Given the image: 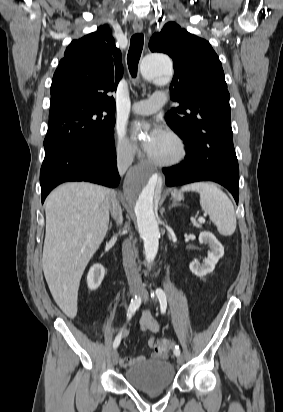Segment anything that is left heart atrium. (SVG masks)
<instances>
[{
	"mask_svg": "<svg viewBox=\"0 0 283 412\" xmlns=\"http://www.w3.org/2000/svg\"><path fill=\"white\" fill-rule=\"evenodd\" d=\"M164 134L165 132L160 126L153 125L148 134V137L143 142L144 149L149 153L161 140Z\"/></svg>",
	"mask_w": 283,
	"mask_h": 412,
	"instance_id": "39dd6f15",
	"label": "left heart atrium"
}]
</instances>
